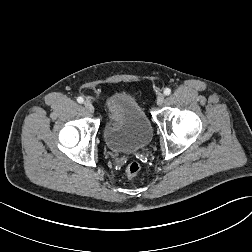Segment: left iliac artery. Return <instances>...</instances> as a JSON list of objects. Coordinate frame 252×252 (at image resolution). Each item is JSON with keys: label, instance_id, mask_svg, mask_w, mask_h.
I'll return each mask as SVG.
<instances>
[{"label": "left iliac artery", "instance_id": "obj_1", "mask_svg": "<svg viewBox=\"0 0 252 252\" xmlns=\"http://www.w3.org/2000/svg\"><path fill=\"white\" fill-rule=\"evenodd\" d=\"M170 93H171V89L166 88V89L164 90V94H165V95H169Z\"/></svg>", "mask_w": 252, "mask_h": 252}]
</instances>
